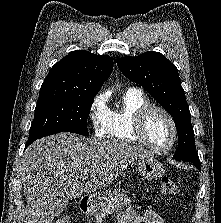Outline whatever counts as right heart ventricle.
Masks as SVG:
<instances>
[{
  "label": "right heart ventricle",
  "mask_w": 221,
  "mask_h": 223,
  "mask_svg": "<svg viewBox=\"0 0 221 223\" xmlns=\"http://www.w3.org/2000/svg\"><path fill=\"white\" fill-rule=\"evenodd\" d=\"M147 105H150V101L142 90L127 89L122 96V106L109 111L108 139L118 143H135L137 140L131 131L135 115Z\"/></svg>",
  "instance_id": "right-heart-ventricle-1"
}]
</instances>
